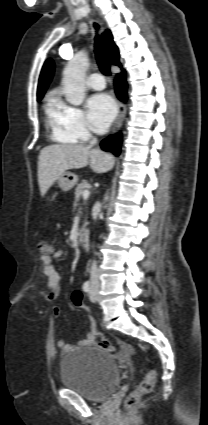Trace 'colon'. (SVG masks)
<instances>
[{"mask_svg":"<svg viewBox=\"0 0 208 425\" xmlns=\"http://www.w3.org/2000/svg\"><path fill=\"white\" fill-rule=\"evenodd\" d=\"M37 249L42 255H50L54 252L53 246L46 241H40L37 245ZM71 300L75 307H82L83 296L80 291H74L72 293ZM89 335L91 337L92 342L101 349L111 353L116 351L114 343L110 339L106 338L102 333L97 331L92 322L90 323ZM156 376L157 373L154 368L148 370L138 387L133 392H131L125 399L124 407L126 409H131L132 407H134L138 403L141 395L150 392L153 389Z\"/></svg>","mask_w":208,"mask_h":425,"instance_id":"obj_1","label":"colon"}]
</instances>
